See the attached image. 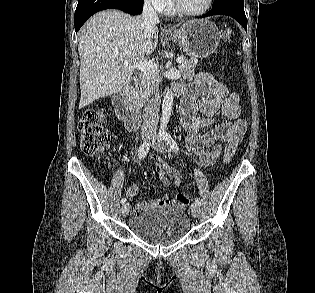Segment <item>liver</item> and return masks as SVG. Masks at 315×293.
I'll list each match as a JSON object with an SVG mask.
<instances>
[{
	"label": "liver",
	"mask_w": 315,
	"mask_h": 293,
	"mask_svg": "<svg viewBox=\"0 0 315 293\" xmlns=\"http://www.w3.org/2000/svg\"><path fill=\"white\" fill-rule=\"evenodd\" d=\"M141 16L117 10L95 14L79 35L80 55L79 108L120 92L130 83L134 64L143 62L158 44V28L145 35ZM128 66H124V62Z\"/></svg>",
	"instance_id": "liver-1"
}]
</instances>
